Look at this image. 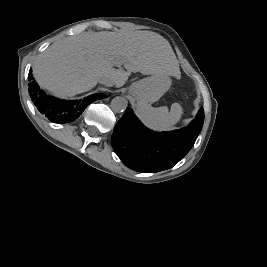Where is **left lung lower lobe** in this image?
I'll return each mask as SVG.
<instances>
[{
    "mask_svg": "<svg viewBox=\"0 0 267 267\" xmlns=\"http://www.w3.org/2000/svg\"><path fill=\"white\" fill-rule=\"evenodd\" d=\"M204 122L203 108L187 128L156 133L144 127L126 109L117 122L111 142L121 161L139 172H158L179 162L192 148Z\"/></svg>",
    "mask_w": 267,
    "mask_h": 267,
    "instance_id": "0a47b994",
    "label": "left lung lower lobe"
}]
</instances>
